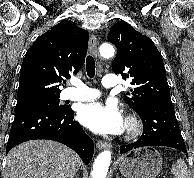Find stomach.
Masks as SVG:
<instances>
[{
  "label": "stomach",
  "mask_w": 194,
  "mask_h": 178,
  "mask_svg": "<svg viewBox=\"0 0 194 178\" xmlns=\"http://www.w3.org/2000/svg\"><path fill=\"white\" fill-rule=\"evenodd\" d=\"M119 171L126 178H155L162 169V157L153 147L146 146L119 158Z\"/></svg>",
  "instance_id": "1"
}]
</instances>
